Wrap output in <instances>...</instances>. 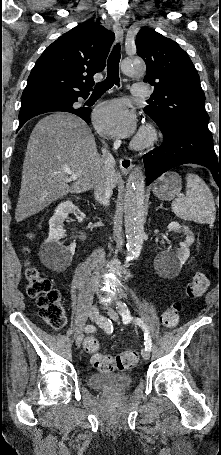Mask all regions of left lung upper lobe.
<instances>
[{"label":"left lung upper lobe","mask_w":221,"mask_h":455,"mask_svg":"<svg viewBox=\"0 0 221 455\" xmlns=\"http://www.w3.org/2000/svg\"><path fill=\"white\" fill-rule=\"evenodd\" d=\"M137 54L147 66L144 82L154 86L150 105L144 108L163 133L180 124L207 127L205 95L200 79L188 54L173 40L151 28L139 31Z\"/></svg>","instance_id":"obj_1"}]
</instances>
